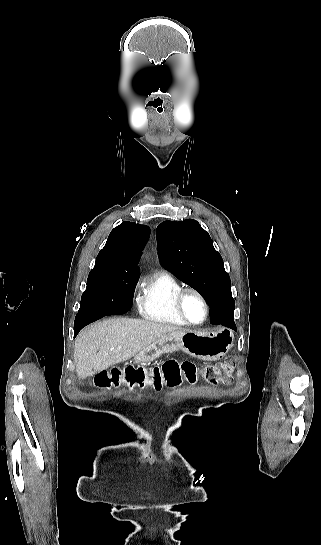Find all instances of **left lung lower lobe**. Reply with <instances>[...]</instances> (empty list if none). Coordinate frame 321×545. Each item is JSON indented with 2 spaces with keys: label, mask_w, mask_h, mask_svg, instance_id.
I'll use <instances>...</instances> for the list:
<instances>
[{
  "label": "left lung lower lobe",
  "mask_w": 321,
  "mask_h": 545,
  "mask_svg": "<svg viewBox=\"0 0 321 545\" xmlns=\"http://www.w3.org/2000/svg\"><path fill=\"white\" fill-rule=\"evenodd\" d=\"M211 324H222L226 327H229L233 330H236V325L234 322V315H225L215 311H210Z\"/></svg>",
  "instance_id": "left-lung-lower-lobe-1"
}]
</instances>
